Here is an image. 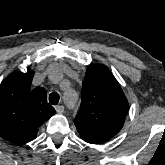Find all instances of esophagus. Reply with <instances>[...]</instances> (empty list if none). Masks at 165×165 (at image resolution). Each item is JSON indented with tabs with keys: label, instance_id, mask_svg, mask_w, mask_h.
<instances>
[{
	"label": "esophagus",
	"instance_id": "1",
	"mask_svg": "<svg viewBox=\"0 0 165 165\" xmlns=\"http://www.w3.org/2000/svg\"><path fill=\"white\" fill-rule=\"evenodd\" d=\"M56 111L58 113H63L64 112V106L63 105H58L55 107Z\"/></svg>",
	"mask_w": 165,
	"mask_h": 165
}]
</instances>
